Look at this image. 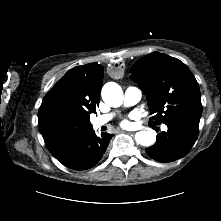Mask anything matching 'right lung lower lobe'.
<instances>
[{"mask_svg":"<svg viewBox=\"0 0 221 221\" xmlns=\"http://www.w3.org/2000/svg\"><path fill=\"white\" fill-rule=\"evenodd\" d=\"M111 138L112 134L109 133H102L98 137L91 129L54 157L68 168L86 170L101 160Z\"/></svg>","mask_w":221,"mask_h":221,"instance_id":"1","label":"right lung lower lobe"}]
</instances>
